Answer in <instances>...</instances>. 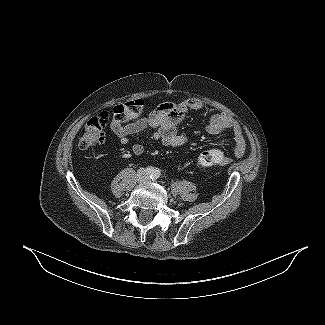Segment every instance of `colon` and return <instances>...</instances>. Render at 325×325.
I'll list each match as a JSON object with an SVG mask.
<instances>
[{"label": "colon", "instance_id": "1", "mask_svg": "<svg viewBox=\"0 0 325 325\" xmlns=\"http://www.w3.org/2000/svg\"><path fill=\"white\" fill-rule=\"evenodd\" d=\"M144 101L132 100L124 104L116 105L112 110V119L120 123L139 119L143 113ZM109 121V113L104 112L91 118L84 127L79 139V147L86 150L104 142L105 128ZM225 161L222 151L218 148H210L202 151L197 158V166L211 167Z\"/></svg>", "mask_w": 325, "mask_h": 325}]
</instances>
